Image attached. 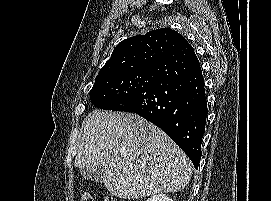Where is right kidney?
Returning <instances> with one entry per match:
<instances>
[{"instance_id": "1", "label": "right kidney", "mask_w": 271, "mask_h": 201, "mask_svg": "<svg viewBox=\"0 0 271 201\" xmlns=\"http://www.w3.org/2000/svg\"><path fill=\"white\" fill-rule=\"evenodd\" d=\"M146 201H173V200L165 194H156L148 198Z\"/></svg>"}]
</instances>
